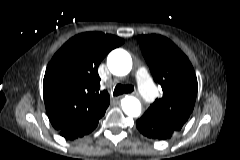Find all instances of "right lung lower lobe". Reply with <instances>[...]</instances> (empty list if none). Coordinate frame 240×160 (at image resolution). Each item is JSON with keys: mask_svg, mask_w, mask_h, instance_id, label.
<instances>
[{"mask_svg": "<svg viewBox=\"0 0 240 160\" xmlns=\"http://www.w3.org/2000/svg\"><path fill=\"white\" fill-rule=\"evenodd\" d=\"M108 106L94 111L85 118L74 120L58 130L60 135L67 140H74L91 133L98 125L99 119L105 114Z\"/></svg>", "mask_w": 240, "mask_h": 160, "instance_id": "obj_1", "label": "right lung lower lobe"}]
</instances>
